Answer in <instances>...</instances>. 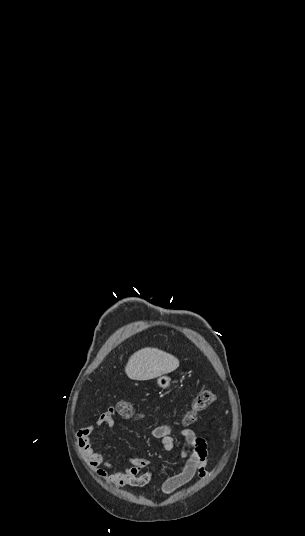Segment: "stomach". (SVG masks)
I'll use <instances>...</instances> for the list:
<instances>
[{
    "instance_id": "1",
    "label": "stomach",
    "mask_w": 305,
    "mask_h": 536,
    "mask_svg": "<svg viewBox=\"0 0 305 536\" xmlns=\"http://www.w3.org/2000/svg\"><path fill=\"white\" fill-rule=\"evenodd\" d=\"M170 382L171 378H169V376H163V374L157 378V384L159 388H163V390H165V388H169Z\"/></svg>"
}]
</instances>
